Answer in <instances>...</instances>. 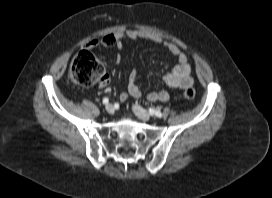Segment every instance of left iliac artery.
Returning a JSON list of instances; mask_svg holds the SVG:
<instances>
[{"mask_svg": "<svg viewBox=\"0 0 272 198\" xmlns=\"http://www.w3.org/2000/svg\"><path fill=\"white\" fill-rule=\"evenodd\" d=\"M149 113H150L151 115H155V116H157V117H159V118L162 117V113H161L159 110H155V109H153V108H149Z\"/></svg>", "mask_w": 272, "mask_h": 198, "instance_id": "44dca946", "label": "left iliac artery"}]
</instances>
